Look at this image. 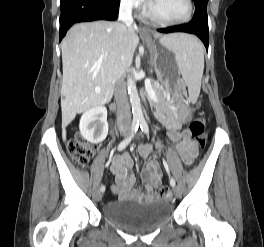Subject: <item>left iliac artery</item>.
I'll use <instances>...</instances> for the list:
<instances>
[{
	"mask_svg": "<svg viewBox=\"0 0 264 247\" xmlns=\"http://www.w3.org/2000/svg\"><path fill=\"white\" fill-rule=\"evenodd\" d=\"M140 128H141L142 132H144L145 134H149V127H148V124H147V122L145 121V119H141V120H140ZM165 168H166L167 171H169V167H168L167 164H165ZM175 184H176V183H175L174 178H171V179H170V185H171L172 187H174Z\"/></svg>",
	"mask_w": 264,
	"mask_h": 247,
	"instance_id": "obj_1",
	"label": "left iliac artery"
}]
</instances>
